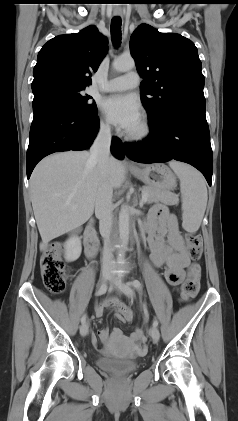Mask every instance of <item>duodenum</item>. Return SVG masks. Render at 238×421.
<instances>
[{
	"label": "duodenum",
	"mask_w": 238,
	"mask_h": 421,
	"mask_svg": "<svg viewBox=\"0 0 238 421\" xmlns=\"http://www.w3.org/2000/svg\"><path fill=\"white\" fill-rule=\"evenodd\" d=\"M85 252L88 257H93L98 251V238L92 225H89L84 233Z\"/></svg>",
	"instance_id": "duodenum-1"
}]
</instances>
